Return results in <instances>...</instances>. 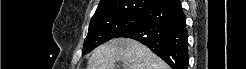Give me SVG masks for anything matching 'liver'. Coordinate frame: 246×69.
Returning a JSON list of instances; mask_svg holds the SVG:
<instances>
[{
	"label": "liver",
	"mask_w": 246,
	"mask_h": 69,
	"mask_svg": "<svg viewBox=\"0 0 246 69\" xmlns=\"http://www.w3.org/2000/svg\"><path fill=\"white\" fill-rule=\"evenodd\" d=\"M168 69L167 64L148 47L128 38H115L97 47L88 61L87 69Z\"/></svg>",
	"instance_id": "liver-1"
}]
</instances>
